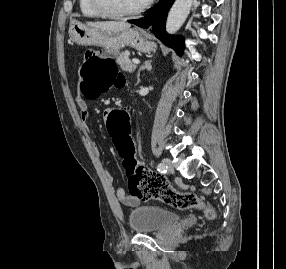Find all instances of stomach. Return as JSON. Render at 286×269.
I'll return each mask as SVG.
<instances>
[{
	"mask_svg": "<svg viewBox=\"0 0 286 269\" xmlns=\"http://www.w3.org/2000/svg\"><path fill=\"white\" fill-rule=\"evenodd\" d=\"M69 35L74 43L82 46H99L104 49H122L130 46L144 53H150L156 48V44L148 40L145 34L137 28L113 33L73 20L70 23Z\"/></svg>",
	"mask_w": 286,
	"mask_h": 269,
	"instance_id": "0dacf381",
	"label": "stomach"
}]
</instances>
